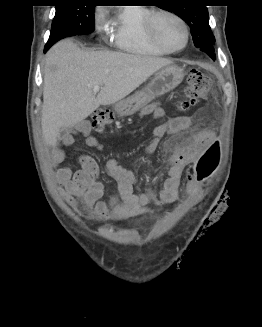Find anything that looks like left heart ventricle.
<instances>
[{"label": "left heart ventricle", "instance_id": "left-heart-ventricle-1", "mask_svg": "<svg viewBox=\"0 0 262 327\" xmlns=\"http://www.w3.org/2000/svg\"><path fill=\"white\" fill-rule=\"evenodd\" d=\"M156 27L160 38L169 47L179 48L184 44V27L175 18L167 15H161L157 18Z\"/></svg>", "mask_w": 262, "mask_h": 327}]
</instances>
